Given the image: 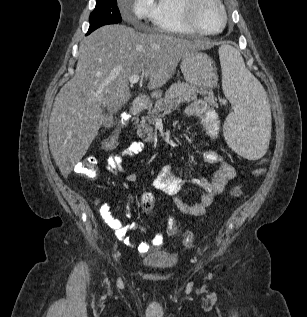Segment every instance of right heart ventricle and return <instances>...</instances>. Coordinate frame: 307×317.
Returning a JSON list of instances; mask_svg holds the SVG:
<instances>
[{
    "mask_svg": "<svg viewBox=\"0 0 307 317\" xmlns=\"http://www.w3.org/2000/svg\"><path fill=\"white\" fill-rule=\"evenodd\" d=\"M153 27L164 33L196 34L185 21L182 0H158Z\"/></svg>",
    "mask_w": 307,
    "mask_h": 317,
    "instance_id": "right-heart-ventricle-1",
    "label": "right heart ventricle"
}]
</instances>
